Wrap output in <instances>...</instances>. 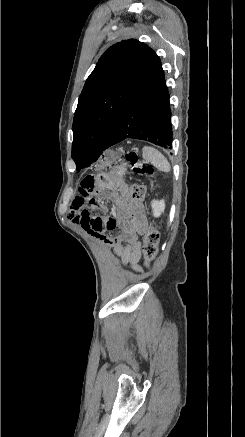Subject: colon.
I'll return each instance as SVG.
<instances>
[{
  "label": "colon",
  "instance_id": "obj_1",
  "mask_svg": "<svg viewBox=\"0 0 245 437\" xmlns=\"http://www.w3.org/2000/svg\"><path fill=\"white\" fill-rule=\"evenodd\" d=\"M126 159L137 173L146 176H151L153 174V168L145 163H142L139 160L137 153L134 151L128 152L126 154ZM129 194L131 201L135 204H138L142 202L145 197V187L141 184H132L129 186ZM159 238V231L156 227V224L153 222L148 227L144 236L143 254L145 266H149L157 256Z\"/></svg>",
  "mask_w": 245,
  "mask_h": 437
}]
</instances>
